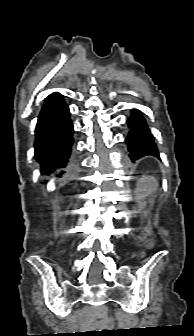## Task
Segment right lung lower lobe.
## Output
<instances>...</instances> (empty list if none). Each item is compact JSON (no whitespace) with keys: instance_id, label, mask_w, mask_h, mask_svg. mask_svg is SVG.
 <instances>
[{"instance_id":"right-lung-lower-lobe-1","label":"right lung lower lobe","mask_w":194,"mask_h":336,"mask_svg":"<svg viewBox=\"0 0 194 336\" xmlns=\"http://www.w3.org/2000/svg\"><path fill=\"white\" fill-rule=\"evenodd\" d=\"M73 124L63 96L54 93L47 97L36 126L35 157L43 174L66 167L73 144Z\"/></svg>"}]
</instances>
